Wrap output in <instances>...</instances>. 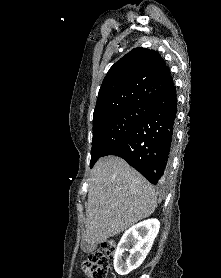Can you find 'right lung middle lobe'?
Segmentation results:
<instances>
[{
  "label": "right lung middle lobe",
  "instance_id": "dd1d6c3e",
  "mask_svg": "<svg viewBox=\"0 0 221 278\" xmlns=\"http://www.w3.org/2000/svg\"><path fill=\"white\" fill-rule=\"evenodd\" d=\"M148 112L146 101H135L93 117L91 167L114 142L133 130Z\"/></svg>",
  "mask_w": 221,
  "mask_h": 278
}]
</instances>
